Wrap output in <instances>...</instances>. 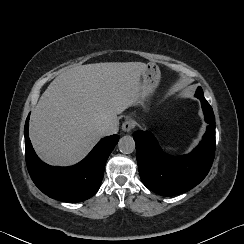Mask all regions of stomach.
<instances>
[{
  "label": "stomach",
  "instance_id": "0dacf381",
  "mask_svg": "<svg viewBox=\"0 0 244 244\" xmlns=\"http://www.w3.org/2000/svg\"><path fill=\"white\" fill-rule=\"evenodd\" d=\"M161 72L157 64L149 63L142 72V100L146 102L159 86Z\"/></svg>",
  "mask_w": 244,
  "mask_h": 244
}]
</instances>
